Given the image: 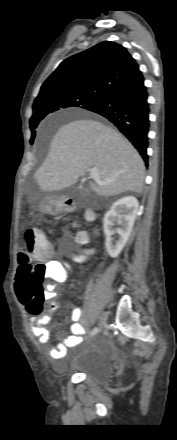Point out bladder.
Segmentation results:
<instances>
[{"label": "bladder", "instance_id": "1", "mask_svg": "<svg viewBox=\"0 0 177 440\" xmlns=\"http://www.w3.org/2000/svg\"><path fill=\"white\" fill-rule=\"evenodd\" d=\"M70 371L83 375L95 385L102 386L111 377L113 364L110 358L95 351H87L70 367Z\"/></svg>", "mask_w": 177, "mask_h": 440}]
</instances>
